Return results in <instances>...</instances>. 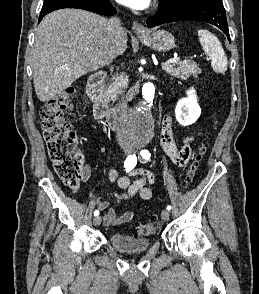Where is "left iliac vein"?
Here are the masks:
<instances>
[{
  "mask_svg": "<svg viewBox=\"0 0 259 294\" xmlns=\"http://www.w3.org/2000/svg\"><path fill=\"white\" fill-rule=\"evenodd\" d=\"M161 218L164 221H168L169 218H170L169 211L168 210H162V212H161Z\"/></svg>",
  "mask_w": 259,
  "mask_h": 294,
  "instance_id": "obj_1",
  "label": "left iliac vein"
}]
</instances>
